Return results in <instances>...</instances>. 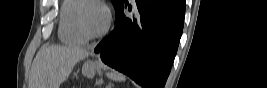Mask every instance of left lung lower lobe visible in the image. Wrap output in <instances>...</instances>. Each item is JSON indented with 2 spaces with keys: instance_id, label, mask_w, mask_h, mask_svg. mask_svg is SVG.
Segmentation results:
<instances>
[{
  "instance_id": "left-lung-lower-lobe-1",
  "label": "left lung lower lobe",
  "mask_w": 267,
  "mask_h": 88,
  "mask_svg": "<svg viewBox=\"0 0 267 88\" xmlns=\"http://www.w3.org/2000/svg\"><path fill=\"white\" fill-rule=\"evenodd\" d=\"M124 1L115 26L95 52L104 63L128 75L143 88H164L183 30L182 0H135L128 17Z\"/></svg>"
}]
</instances>
